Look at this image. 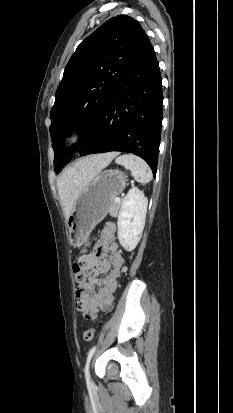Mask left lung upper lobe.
<instances>
[{
    "label": "left lung upper lobe",
    "mask_w": 233,
    "mask_h": 413,
    "mask_svg": "<svg viewBox=\"0 0 233 413\" xmlns=\"http://www.w3.org/2000/svg\"><path fill=\"white\" fill-rule=\"evenodd\" d=\"M145 36L139 22L129 16L119 15L84 39L71 56L50 113L56 173L60 172L77 149L62 147L65 137L80 126L83 128L82 145L85 143Z\"/></svg>",
    "instance_id": "obj_1"
}]
</instances>
